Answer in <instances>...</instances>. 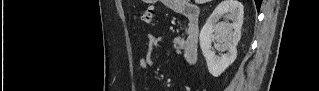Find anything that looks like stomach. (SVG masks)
<instances>
[{
	"instance_id": "obj_1",
	"label": "stomach",
	"mask_w": 319,
	"mask_h": 91,
	"mask_svg": "<svg viewBox=\"0 0 319 91\" xmlns=\"http://www.w3.org/2000/svg\"><path fill=\"white\" fill-rule=\"evenodd\" d=\"M172 0H164V2H166V3H169V2H171ZM172 4H175V3H172Z\"/></svg>"
}]
</instances>
